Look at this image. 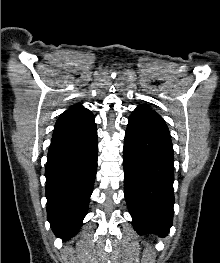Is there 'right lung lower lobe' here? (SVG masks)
Returning <instances> with one entry per match:
<instances>
[{
  "label": "right lung lower lobe",
  "mask_w": 220,
  "mask_h": 263,
  "mask_svg": "<svg viewBox=\"0 0 220 263\" xmlns=\"http://www.w3.org/2000/svg\"><path fill=\"white\" fill-rule=\"evenodd\" d=\"M96 126L87 134H53L46 163L47 217L58 237L75 235L87 214L97 169Z\"/></svg>",
  "instance_id": "1"
}]
</instances>
